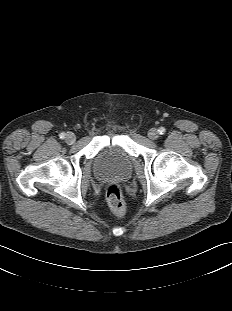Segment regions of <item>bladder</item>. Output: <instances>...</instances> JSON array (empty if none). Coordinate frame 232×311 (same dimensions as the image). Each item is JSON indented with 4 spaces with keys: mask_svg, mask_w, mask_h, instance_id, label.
<instances>
[{
    "mask_svg": "<svg viewBox=\"0 0 232 311\" xmlns=\"http://www.w3.org/2000/svg\"><path fill=\"white\" fill-rule=\"evenodd\" d=\"M95 171L103 177L123 179L131 172V161L125 153L109 149L97 158Z\"/></svg>",
    "mask_w": 232,
    "mask_h": 311,
    "instance_id": "obj_1",
    "label": "bladder"
}]
</instances>
